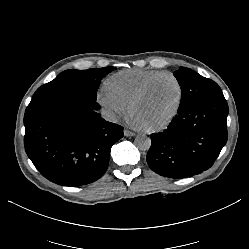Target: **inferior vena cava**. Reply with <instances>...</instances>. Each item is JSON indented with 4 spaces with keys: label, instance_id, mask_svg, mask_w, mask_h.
Returning a JSON list of instances; mask_svg holds the SVG:
<instances>
[{
    "label": "inferior vena cava",
    "instance_id": "602c4592",
    "mask_svg": "<svg viewBox=\"0 0 249 249\" xmlns=\"http://www.w3.org/2000/svg\"><path fill=\"white\" fill-rule=\"evenodd\" d=\"M101 116L103 117L104 120H106L108 122H111V123L118 122L117 115L115 114V112H113L110 109H102Z\"/></svg>",
    "mask_w": 249,
    "mask_h": 249
}]
</instances>
